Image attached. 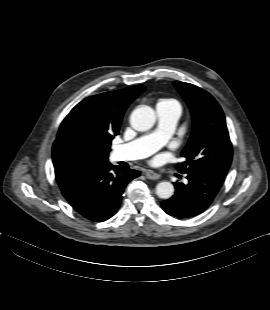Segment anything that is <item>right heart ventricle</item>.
<instances>
[{
  "label": "right heart ventricle",
  "instance_id": "1",
  "mask_svg": "<svg viewBox=\"0 0 270 310\" xmlns=\"http://www.w3.org/2000/svg\"><path fill=\"white\" fill-rule=\"evenodd\" d=\"M157 106H162L169 109H176L181 113V104L178 100L171 97H164L158 100Z\"/></svg>",
  "mask_w": 270,
  "mask_h": 310
}]
</instances>
